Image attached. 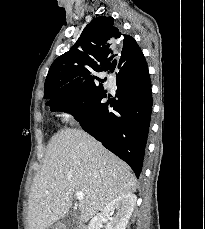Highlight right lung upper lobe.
Masks as SVG:
<instances>
[{
	"instance_id": "cb5924a9",
	"label": "right lung upper lobe",
	"mask_w": 205,
	"mask_h": 229,
	"mask_svg": "<svg viewBox=\"0 0 205 229\" xmlns=\"http://www.w3.org/2000/svg\"><path fill=\"white\" fill-rule=\"evenodd\" d=\"M142 56L134 38L115 27L112 17H97L84 28L73 47L51 65L44 99L68 96L80 85L92 83L100 72L135 68Z\"/></svg>"
}]
</instances>
